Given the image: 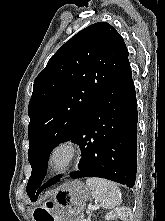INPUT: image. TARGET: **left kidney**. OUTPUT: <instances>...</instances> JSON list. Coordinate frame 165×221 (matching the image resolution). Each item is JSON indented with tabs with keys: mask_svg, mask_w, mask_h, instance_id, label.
Listing matches in <instances>:
<instances>
[{
	"mask_svg": "<svg viewBox=\"0 0 165 221\" xmlns=\"http://www.w3.org/2000/svg\"><path fill=\"white\" fill-rule=\"evenodd\" d=\"M114 218H120L121 221H133L132 210L128 207H117L105 217L106 221H112Z\"/></svg>",
	"mask_w": 165,
	"mask_h": 221,
	"instance_id": "5707ae66",
	"label": "left kidney"
}]
</instances>
